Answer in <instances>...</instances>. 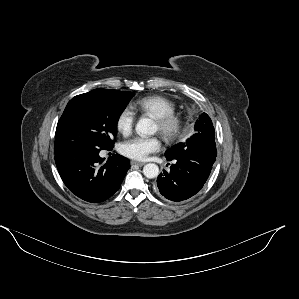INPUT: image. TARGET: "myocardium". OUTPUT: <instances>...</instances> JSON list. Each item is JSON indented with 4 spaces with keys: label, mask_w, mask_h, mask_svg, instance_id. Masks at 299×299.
<instances>
[{
    "label": "myocardium",
    "mask_w": 299,
    "mask_h": 299,
    "mask_svg": "<svg viewBox=\"0 0 299 299\" xmlns=\"http://www.w3.org/2000/svg\"><path fill=\"white\" fill-rule=\"evenodd\" d=\"M155 121L159 126L160 134L167 141L176 139L183 129V120L175 113L158 117Z\"/></svg>",
    "instance_id": "obj_1"
}]
</instances>
